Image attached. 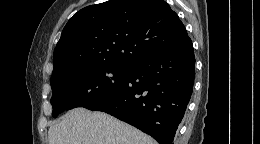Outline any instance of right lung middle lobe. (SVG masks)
<instances>
[{"mask_svg": "<svg viewBox=\"0 0 260 144\" xmlns=\"http://www.w3.org/2000/svg\"><path fill=\"white\" fill-rule=\"evenodd\" d=\"M128 71L129 67L97 65L51 77L52 116L108 98L125 84Z\"/></svg>", "mask_w": 260, "mask_h": 144, "instance_id": "obj_1", "label": "right lung middle lobe"}]
</instances>
